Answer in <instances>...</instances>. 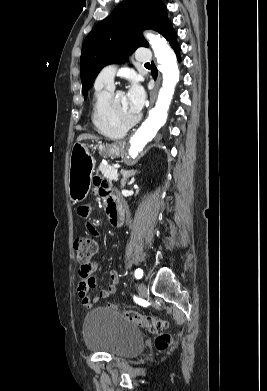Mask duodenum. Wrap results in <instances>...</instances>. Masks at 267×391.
Listing matches in <instances>:
<instances>
[{
	"label": "duodenum",
	"mask_w": 267,
	"mask_h": 391,
	"mask_svg": "<svg viewBox=\"0 0 267 391\" xmlns=\"http://www.w3.org/2000/svg\"><path fill=\"white\" fill-rule=\"evenodd\" d=\"M122 222H123V217L122 216H120V215H114L113 216L112 224L114 226L119 227V226H121Z\"/></svg>",
	"instance_id": "1"
}]
</instances>
